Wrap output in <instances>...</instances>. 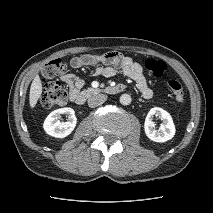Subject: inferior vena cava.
Masks as SVG:
<instances>
[{
	"instance_id": "1",
	"label": "inferior vena cava",
	"mask_w": 213,
	"mask_h": 213,
	"mask_svg": "<svg viewBox=\"0 0 213 213\" xmlns=\"http://www.w3.org/2000/svg\"><path fill=\"white\" fill-rule=\"evenodd\" d=\"M107 100V95L105 94H97L93 95L88 99V105L91 108L102 105Z\"/></svg>"
}]
</instances>
